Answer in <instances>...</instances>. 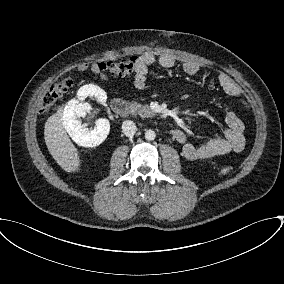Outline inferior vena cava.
<instances>
[{"label": "inferior vena cava", "instance_id": "obj_1", "mask_svg": "<svg viewBox=\"0 0 284 284\" xmlns=\"http://www.w3.org/2000/svg\"><path fill=\"white\" fill-rule=\"evenodd\" d=\"M122 130L126 136H133L137 131V127L133 121L126 120L122 124Z\"/></svg>", "mask_w": 284, "mask_h": 284}]
</instances>
